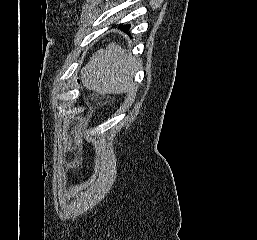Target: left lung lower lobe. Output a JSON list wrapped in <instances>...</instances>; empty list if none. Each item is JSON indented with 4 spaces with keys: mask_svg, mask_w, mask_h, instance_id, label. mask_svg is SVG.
Returning <instances> with one entry per match:
<instances>
[{
    "mask_svg": "<svg viewBox=\"0 0 257 240\" xmlns=\"http://www.w3.org/2000/svg\"><path fill=\"white\" fill-rule=\"evenodd\" d=\"M121 29L124 30L125 32H128V30L130 29L129 25H121Z\"/></svg>",
    "mask_w": 257,
    "mask_h": 240,
    "instance_id": "1",
    "label": "left lung lower lobe"
}]
</instances>
